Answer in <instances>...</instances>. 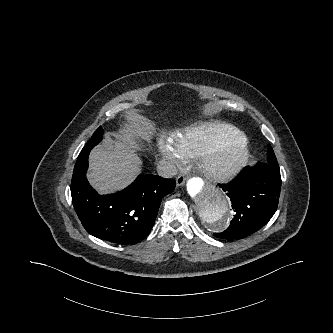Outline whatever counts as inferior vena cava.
Here are the masks:
<instances>
[{
	"instance_id": "1",
	"label": "inferior vena cava",
	"mask_w": 333,
	"mask_h": 333,
	"mask_svg": "<svg viewBox=\"0 0 333 333\" xmlns=\"http://www.w3.org/2000/svg\"><path fill=\"white\" fill-rule=\"evenodd\" d=\"M157 172L161 177L172 178L177 174V168L172 162L161 160L157 165Z\"/></svg>"
}]
</instances>
